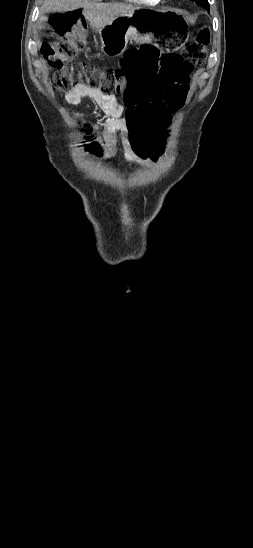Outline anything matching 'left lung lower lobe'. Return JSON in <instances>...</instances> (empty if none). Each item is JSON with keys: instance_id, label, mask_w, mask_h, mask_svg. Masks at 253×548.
I'll list each match as a JSON object with an SVG mask.
<instances>
[{"instance_id": "obj_1", "label": "left lung lower lobe", "mask_w": 253, "mask_h": 548, "mask_svg": "<svg viewBox=\"0 0 253 548\" xmlns=\"http://www.w3.org/2000/svg\"><path fill=\"white\" fill-rule=\"evenodd\" d=\"M195 3H196L197 5H199V6H201V7H203V8H205V9L209 10V3H208V2H205V3H203V2H195Z\"/></svg>"}]
</instances>
